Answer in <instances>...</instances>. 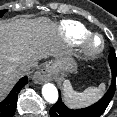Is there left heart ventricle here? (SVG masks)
I'll return each mask as SVG.
<instances>
[{"label": "left heart ventricle", "mask_w": 117, "mask_h": 117, "mask_svg": "<svg viewBox=\"0 0 117 117\" xmlns=\"http://www.w3.org/2000/svg\"><path fill=\"white\" fill-rule=\"evenodd\" d=\"M98 44H99V40L96 39V40L94 41V45L97 46Z\"/></svg>", "instance_id": "b2bd125f"}]
</instances>
